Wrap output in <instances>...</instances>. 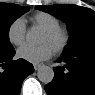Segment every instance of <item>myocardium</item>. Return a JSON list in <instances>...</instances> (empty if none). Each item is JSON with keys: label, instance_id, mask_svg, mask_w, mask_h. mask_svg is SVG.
<instances>
[{"label": "myocardium", "instance_id": "1", "mask_svg": "<svg viewBox=\"0 0 95 95\" xmlns=\"http://www.w3.org/2000/svg\"><path fill=\"white\" fill-rule=\"evenodd\" d=\"M45 34L47 37L55 43L53 47V52L56 54H61L66 50L70 42L69 32L61 27L46 30Z\"/></svg>", "mask_w": 95, "mask_h": 95}]
</instances>
